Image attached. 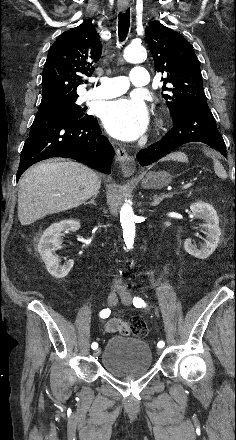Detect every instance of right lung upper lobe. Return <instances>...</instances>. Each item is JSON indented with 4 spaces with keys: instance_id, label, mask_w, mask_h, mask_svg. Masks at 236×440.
Wrapping results in <instances>:
<instances>
[{
    "instance_id": "1",
    "label": "right lung upper lobe",
    "mask_w": 236,
    "mask_h": 440,
    "mask_svg": "<svg viewBox=\"0 0 236 440\" xmlns=\"http://www.w3.org/2000/svg\"><path fill=\"white\" fill-rule=\"evenodd\" d=\"M101 53V42L90 20L63 32L48 52L39 107L76 101L77 86L93 74V64Z\"/></svg>"
}]
</instances>
